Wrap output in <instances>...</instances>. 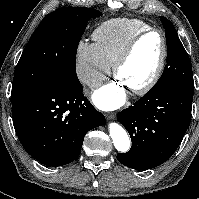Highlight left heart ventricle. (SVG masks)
Here are the masks:
<instances>
[{"instance_id": "obj_1", "label": "left heart ventricle", "mask_w": 199, "mask_h": 199, "mask_svg": "<svg viewBox=\"0 0 199 199\" xmlns=\"http://www.w3.org/2000/svg\"><path fill=\"white\" fill-rule=\"evenodd\" d=\"M162 51L160 36L152 33L144 37L122 65L118 79L128 90L146 83L154 73Z\"/></svg>"}]
</instances>
